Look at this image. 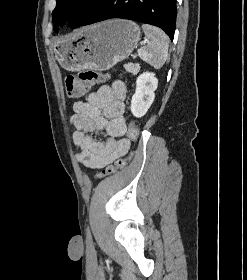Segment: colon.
<instances>
[{
  "label": "colon",
  "instance_id": "obj_1",
  "mask_svg": "<svg viewBox=\"0 0 247 280\" xmlns=\"http://www.w3.org/2000/svg\"><path fill=\"white\" fill-rule=\"evenodd\" d=\"M107 79V75L92 69L80 71L77 75H68L65 78L66 94L70 98H78L84 95L91 86L102 83ZM127 136L130 141L136 142L139 138V127L135 122H131ZM131 152L125 159H118L114 164L107 166L100 172L99 177H105L116 173L118 170L124 168L126 164L132 159Z\"/></svg>",
  "mask_w": 247,
  "mask_h": 280
}]
</instances>
